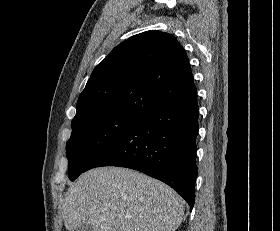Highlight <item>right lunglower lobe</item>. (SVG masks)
I'll list each match as a JSON object with an SVG mask.
<instances>
[{
  "label": "right lung lower lobe",
  "instance_id": "98d812e1",
  "mask_svg": "<svg viewBox=\"0 0 280 231\" xmlns=\"http://www.w3.org/2000/svg\"><path fill=\"white\" fill-rule=\"evenodd\" d=\"M198 115L197 96L164 105L143 117L83 172L100 166L141 171L171 186L192 209L198 174L195 161Z\"/></svg>",
  "mask_w": 280,
  "mask_h": 231
}]
</instances>
